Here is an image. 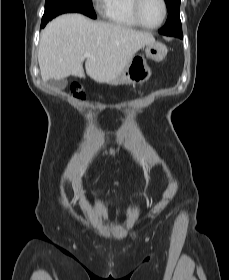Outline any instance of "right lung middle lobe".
<instances>
[{"label": "right lung middle lobe", "instance_id": "dd1d6c3e", "mask_svg": "<svg viewBox=\"0 0 229 280\" xmlns=\"http://www.w3.org/2000/svg\"><path fill=\"white\" fill-rule=\"evenodd\" d=\"M67 12H79L90 18H96L92 0H45L42 20L50 21L57 15Z\"/></svg>", "mask_w": 229, "mask_h": 280}]
</instances>
